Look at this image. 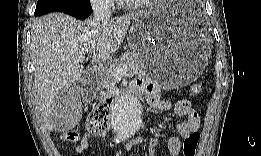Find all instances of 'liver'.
Here are the masks:
<instances>
[{
    "label": "liver",
    "instance_id": "6515ba94",
    "mask_svg": "<svg viewBox=\"0 0 261 156\" xmlns=\"http://www.w3.org/2000/svg\"><path fill=\"white\" fill-rule=\"evenodd\" d=\"M142 12H132L107 22H84L64 13L37 18L31 30V57L41 115L48 130L57 128L56 107L69 93L75 103L78 121L82 116L80 97L71 92L86 71L80 56L91 54L92 62L108 59L123 43L131 24ZM77 121V122H78Z\"/></svg>",
    "mask_w": 261,
    "mask_h": 156
}]
</instances>
